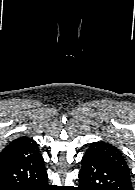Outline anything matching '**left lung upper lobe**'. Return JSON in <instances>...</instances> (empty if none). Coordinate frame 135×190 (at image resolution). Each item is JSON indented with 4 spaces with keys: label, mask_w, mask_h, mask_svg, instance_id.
I'll return each instance as SVG.
<instances>
[{
    "label": "left lung upper lobe",
    "mask_w": 135,
    "mask_h": 190,
    "mask_svg": "<svg viewBox=\"0 0 135 190\" xmlns=\"http://www.w3.org/2000/svg\"><path fill=\"white\" fill-rule=\"evenodd\" d=\"M86 154L104 159L105 161L113 164L126 176L130 177L131 172L127 162L125 161L122 153L116 147L105 142H96L90 146Z\"/></svg>",
    "instance_id": "5c2ea615"
}]
</instances>
